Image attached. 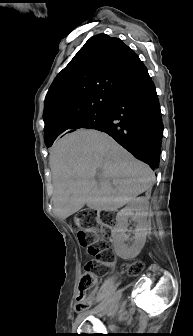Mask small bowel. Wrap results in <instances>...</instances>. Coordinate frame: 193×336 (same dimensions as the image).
<instances>
[{"label": "small bowel", "instance_id": "obj_1", "mask_svg": "<svg viewBox=\"0 0 193 336\" xmlns=\"http://www.w3.org/2000/svg\"><path fill=\"white\" fill-rule=\"evenodd\" d=\"M104 266H105V267H109L110 264H109V263H106V264H104ZM96 294H97V290L95 289V290H93V291L91 292L89 299H90V300L94 299L95 296H96Z\"/></svg>", "mask_w": 193, "mask_h": 336}]
</instances>
